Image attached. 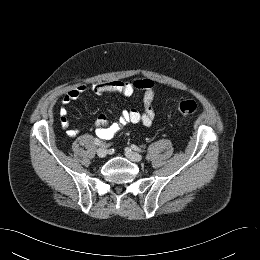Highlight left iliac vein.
<instances>
[{
	"mask_svg": "<svg viewBox=\"0 0 260 260\" xmlns=\"http://www.w3.org/2000/svg\"><path fill=\"white\" fill-rule=\"evenodd\" d=\"M126 157L133 162H140L142 160V156L136 152L131 151L130 149L125 150Z\"/></svg>",
	"mask_w": 260,
	"mask_h": 260,
	"instance_id": "1",
	"label": "left iliac vein"
}]
</instances>
